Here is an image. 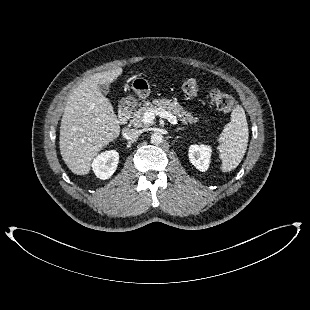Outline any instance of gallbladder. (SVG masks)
Masks as SVG:
<instances>
[{
    "mask_svg": "<svg viewBox=\"0 0 310 310\" xmlns=\"http://www.w3.org/2000/svg\"><path fill=\"white\" fill-rule=\"evenodd\" d=\"M109 85L106 83H100L99 84V91L103 94V95H107L109 93Z\"/></svg>",
    "mask_w": 310,
    "mask_h": 310,
    "instance_id": "gallbladder-1",
    "label": "gallbladder"
}]
</instances>
